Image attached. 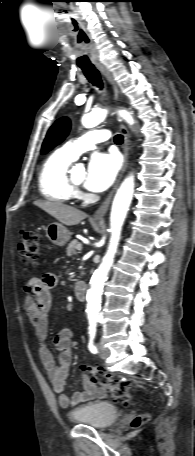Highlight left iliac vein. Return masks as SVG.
<instances>
[{
  "instance_id": "4c4485c4",
  "label": "left iliac vein",
  "mask_w": 195,
  "mask_h": 456,
  "mask_svg": "<svg viewBox=\"0 0 195 456\" xmlns=\"http://www.w3.org/2000/svg\"><path fill=\"white\" fill-rule=\"evenodd\" d=\"M98 353H99L100 358L105 360L109 356L110 350L107 349L106 347H104L102 344H98Z\"/></svg>"
}]
</instances>
